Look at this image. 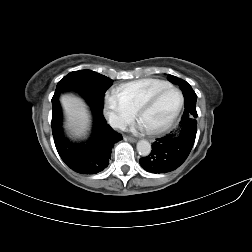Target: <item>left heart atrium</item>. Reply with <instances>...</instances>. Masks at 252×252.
<instances>
[{"instance_id":"left-heart-atrium-1","label":"left heart atrium","mask_w":252,"mask_h":252,"mask_svg":"<svg viewBox=\"0 0 252 252\" xmlns=\"http://www.w3.org/2000/svg\"><path fill=\"white\" fill-rule=\"evenodd\" d=\"M143 128H144V126L142 125L141 122H139L138 124H136V125L133 126V129H134V130H135V129H143Z\"/></svg>"}]
</instances>
